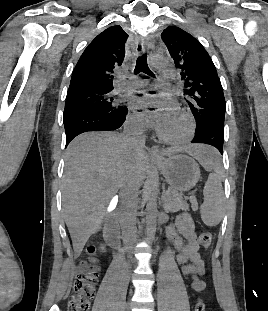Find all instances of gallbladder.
<instances>
[{
  "instance_id": "obj_1",
  "label": "gallbladder",
  "mask_w": 268,
  "mask_h": 311,
  "mask_svg": "<svg viewBox=\"0 0 268 311\" xmlns=\"http://www.w3.org/2000/svg\"><path fill=\"white\" fill-rule=\"evenodd\" d=\"M120 203V199H108V211H111V208H117V206H120Z\"/></svg>"
}]
</instances>
